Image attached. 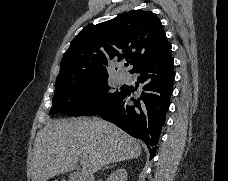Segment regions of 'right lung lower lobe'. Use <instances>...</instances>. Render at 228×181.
Masks as SVG:
<instances>
[{"instance_id":"obj_1","label":"right lung lower lobe","mask_w":228,"mask_h":181,"mask_svg":"<svg viewBox=\"0 0 228 181\" xmlns=\"http://www.w3.org/2000/svg\"><path fill=\"white\" fill-rule=\"evenodd\" d=\"M174 60L171 46L138 66L135 88L124 87L123 94L99 115L129 135L143 140L155 156L161 127L166 119L173 91ZM133 102V103H132Z\"/></svg>"}]
</instances>
